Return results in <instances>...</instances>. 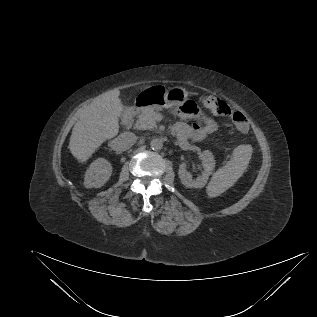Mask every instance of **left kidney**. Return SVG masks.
Returning <instances> with one entry per match:
<instances>
[{
	"instance_id": "left-kidney-1",
	"label": "left kidney",
	"mask_w": 317,
	"mask_h": 317,
	"mask_svg": "<svg viewBox=\"0 0 317 317\" xmlns=\"http://www.w3.org/2000/svg\"><path fill=\"white\" fill-rule=\"evenodd\" d=\"M203 168L202 174L199 175L195 180L192 175L187 171L186 164L181 163L179 166V178L183 185L188 188H203L215 168V160L213 154L209 150H205L200 154Z\"/></svg>"
}]
</instances>
